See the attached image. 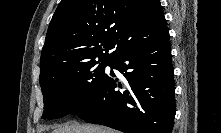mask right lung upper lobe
Here are the masks:
<instances>
[{"label": "right lung upper lobe", "instance_id": "1", "mask_svg": "<svg viewBox=\"0 0 221 133\" xmlns=\"http://www.w3.org/2000/svg\"><path fill=\"white\" fill-rule=\"evenodd\" d=\"M168 36L159 0H62L47 31L40 75L59 64L114 62Z\"/></svg>", "mask_w": 221, "mask_h": 133}]
</instances>
